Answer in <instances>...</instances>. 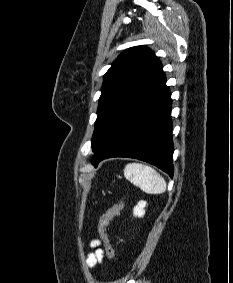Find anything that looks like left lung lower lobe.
Segmentation results:
<instances>
[{
    "label": "left lung lower lobe",
    "instance_id": "1",
    "mask_svg": "<svg viewBox=\"0 0 233 283\" xmlns=\"http://www.w3.org/2000/svg\"><path fill=\"white\" fill-rule=\"evenodd\" d=\"M171 93L162 67L95 152L92 164L110 157L136 158L162 169L172 178Z\"/></svg>",
    "mask_w": 233,
    "mask_h": 283
}]
</instances>
